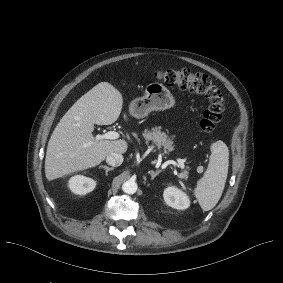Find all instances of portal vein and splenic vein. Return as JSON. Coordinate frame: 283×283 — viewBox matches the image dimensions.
Returning a JSON list of instances; mask_svg holds the SVG:
<instances>
[{
    "label": "portal vein and splenic vein",
    "mask_w": 283,
    "mask_h": 283,
    "mask_svg": "<svg viewBox=\"0 0 283 283\" xmlns=\"http://www.w3.org/2000/svg\"><path fill=\"white\" fill-rule=\"evenodd\" d=\"M119 138V133L115 131H108L105 134H98L96 135V140H102V139H117ZM177 162L181 168H184V160L183 159H177Z\"/></svg>",
    "instance_id": "18ae733b"
}]
</instances>
